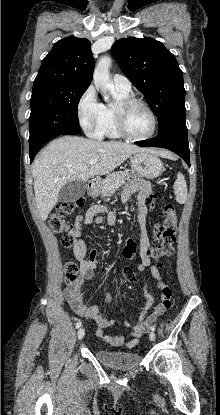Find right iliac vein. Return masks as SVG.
Instances as JSON below:
<instances>
[{
    "label": "right iliac vein",
    "instance_id": "63e3f726",
    "mask_svg": "<svg viewBox=\"0 0 220 415\" xmlns=\"http://www.w3.org/2000/svg\"><path fill=\"white\" fill-rule=\"evenodd\" d=\"M84 335H85V331H84V329H83V328H80V329L78 330V332H77V337H78V339H79V340L83 339Z\"/></svg>",
    "mask_w": 220,
    "mask_h": 415
}]
</instances>
